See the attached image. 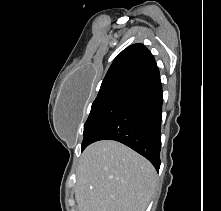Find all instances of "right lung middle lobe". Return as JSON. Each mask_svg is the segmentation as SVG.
Returning a JSON list of instances; mask_svg holds the SVG:
<instances>
[{
	"label": "right lung middle lobe",
	"mask_w": 221,
	"mask_h": 211,
	"mask_svg": "<svg viewBox=\"0 0 221 211\" xmlns=\"http://www.w3.org/2000/svg\"><path fill=\"white\" fill-rule=\"evenodd\" d=\"M135 91L134 89L120 88L98 94L84 125L82 147L87 145L120 111Z\"/></svg>",
	"instance_id": "right-lung-middle-lobe-1"
}]
</instances>
